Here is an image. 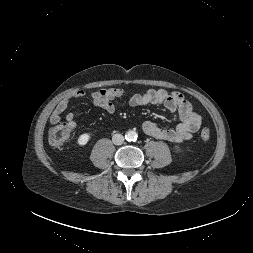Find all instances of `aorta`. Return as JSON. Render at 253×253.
<instances>
[{
	"instance_id": "1",
	"label": "aorta",
	"mask_w": 253,
	"mask_h": 253,
	"mask_svg": "<svg viewBox=\"0 0 253 253\" xmlns=\"http://www.w3.org/2000/svg\"><path fill=\"white\" fill-rule=\"evenodd\" d=\"M126 140L128 141H134L137 139V134L134 131H128L125 135Z\"/></svg>"
}]
</instances>
